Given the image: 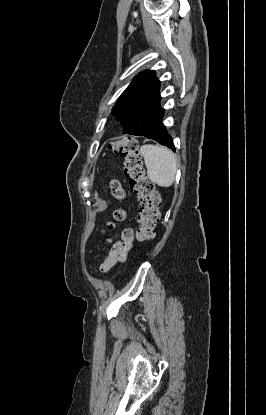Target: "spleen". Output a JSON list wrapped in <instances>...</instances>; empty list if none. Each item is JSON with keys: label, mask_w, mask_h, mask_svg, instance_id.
<instances>
[{"label": "spleen", "mask_w": 266, "mask_h": 415, "mask_svg": "<svg viewBox=\"0 0 266 415\" xmlns=\"http://www.w3.org/2000/svg\"><path fill=\"white\" fill-rule=\"evenodd\" d=\"M144 157L149 179L160 187H170L177 171L175 154L159 145H143L140 148Z\"/></svg>", "instance_id": "obj_1"}]
</instances>
